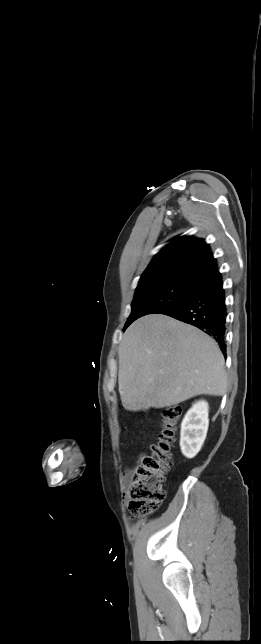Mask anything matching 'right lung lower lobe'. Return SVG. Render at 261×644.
<instances>
[{
  "label": "right lung lower lobe",
  "instance_id": "obj_1",
  "mask_svg": "<svg viewBox=\"0 0 261 644\" xmlns=\"http://www.w3.org/2000/svg\"><path fill=\"white\" fill-rule=\"evenodd\" d=\"M191 324L212 336L223 353L225 345L226 305L222 276L217 270L197 282L190 295L178 305L162 312Z\"/></svg>",
  "mask_w": 261,
  "mask_h": 644
}]
</instances>
